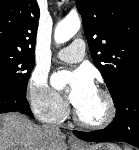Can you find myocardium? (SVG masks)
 <instances>
[{"label": "myocardium", "instance_id": "obj_1", "mask_svg": "<svg viewBox=\"0 0 139 150\" xmlns=\"http://www.w3.org/2000/svg\"><path fill=\"white\" fill-rule=\"evenodd\" d=\"M96 91L103 96L107 106V114L103 120L97 123H90L80 117L76 107H74L73 111L75 122L79 126L89 130H101L107 128L112 124L117 114V106L113 95L108 90L103 88H97Z\"/></svg>", "mask_w": 139, "mask_h": 150}]
</instances>
